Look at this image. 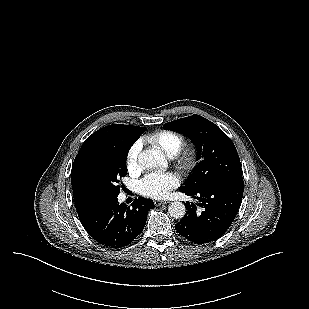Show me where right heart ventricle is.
I'll list each match as a JSON object with an SVG mask.
<instances>
[{
    "label": "right heart ventricle",
    "mask_w": 309,
    "mask_h": 309,
    "mask_svg": "<svg viewBox=\"0 0 309 309\" xmlns=\"http://www.w3.org/2000/svg\"><path fill=\"white\" fill-rule=\"evenodd\" d=\"M146 140L169 156H174L184 145L182 134L172 130H161L146 137Z\"/></svg>",
    "instance_id": "right-heart-ventricle-1"
}]
</instances>
